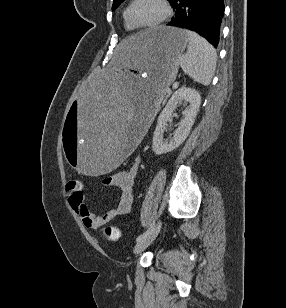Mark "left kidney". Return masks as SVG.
<instances>
[{
  "label": "left kidney",
  "mask_w": 286,
  "mask_h": 308,
  "mask_svg": "<svg viewBox=\"0 0 286 308\" xmlns=\"http://www.w3.org/2000/svg\"><path fill=\"white\" fill-rule=\"evenodd\" d=\"M182 101L188 104V109L183 119L179 122L178 128L173 133V137L171 139H164L163 134L166 130L167 122ZM200 105L201 97L195 89L181 87L172 95L160 113L154 131L152 149L156 155L171 152L185 141L194 124Z\"/></svg>",
  "instance_id": "1"
}]
</instances>
